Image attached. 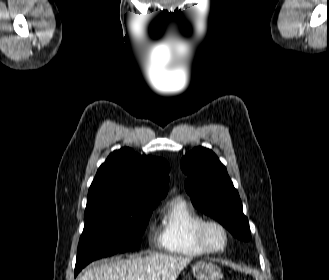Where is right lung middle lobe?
<instances>
[{
  "instance_id": "dd1d6c3e",
  "label": "right lung middle lobe",
  "mask_w": 329,
  "mask_h": 280,
  "mask_svg": "<svg viewBox=\"0 0 329 280\" xmlns=\"http://www.w3.org/2000/svg\"><path fill=\"white\" fill-rule=\"evenodd\" d=\"M159 202L160 199L114 200L87 212L75 276L93 260L137 250L152 210Z\"/></svg>"
}]
</instances>
